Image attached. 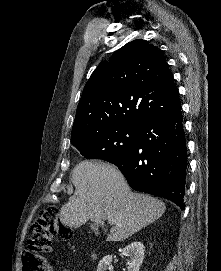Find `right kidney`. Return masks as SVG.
<instances>
[{"mask_svg":"<svg viewBox=\"0 0 221 271\" xmlns=\"http://www.w3.org/2000/svg\"><path fill=\"white\" fill-rule=\"evenodd\" d=\"M144 251L145 245H143L142 241H131V243L123 247L121 251L122 255H128L129 257V259H127V271H139L144 259ZM112 259L113 255H104L97 265V271H107Z\"/></svg>","mask_w":221,"mask_h":271,"instance_id":"obj_1","label":"right kidney"}]
</instances>
